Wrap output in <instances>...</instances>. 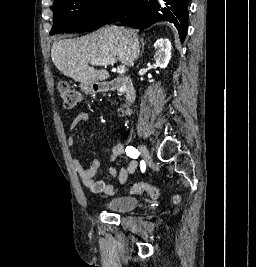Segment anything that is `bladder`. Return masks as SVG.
Here are the masks:
<instances>
[{
	"label": "bladder",
	"instance_id": "obj_1",
	"mask_svg": "<svg viewBox=\"0 0 256 267\" xmlns=\"http://www.w3.org/2000/svg\"><path fill=\"white\" fill-rule=\"evenodd\" d=\"M139 202L140 199L133 196L116 195L99 202L97 206L112 213H121L131 211Z\"/></svg>",
	"mask_w": 256,
	"mask_h": 267
}]
</instances>
